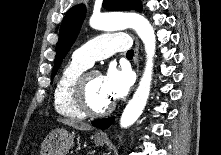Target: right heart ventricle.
<instances>
[{
    "mask_svg": "<svg viewBox=\"0 0 221 155\" xmlns=\"http://www.w3.org/2000/svg\"><path fill=\"white\" fill-rule=\"evenodd\" d=\"M87 68L88 66L72 59L60 72L53 92L54 107L60 115L73 119L85 117L75 106L71 96V89L77 77Z\"/></svg>",
    "mask_w": 221,
    "mask_h": 155,
    "instance_id": "right-heart-ventricle-1",
    "label": "right heart ventricle"
}]
</instances>
